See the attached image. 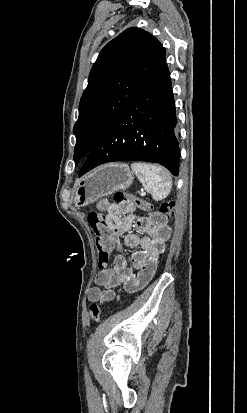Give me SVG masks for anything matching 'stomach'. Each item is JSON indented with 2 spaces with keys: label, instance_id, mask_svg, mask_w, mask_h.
<instances>
[{
  "label": "stomach",
  "instance_id": "stomach-1",
  "mask_svg": "<svg viewBox=\"0 0 247 413\" xmlns=\"http://www.w3.org/2000/svg\"><path fill=\"white\" fill-rule=\"evenodd\" d=\"M134 180L133 170L124 162H108L93 168L74 184L75 207H87L102 196H109L115 190H125Z\"/></svg>",
  "mask_w": 247,
  "mask_h": 413
}]
</instances>
